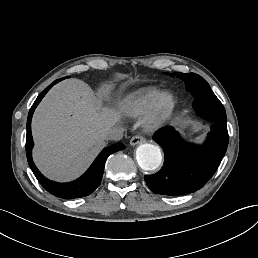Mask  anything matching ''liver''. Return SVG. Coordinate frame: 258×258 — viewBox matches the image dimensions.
<instances>
[{
    "mask_svg": "<svg viewBox=\"0 0 258 258\" xmlns=\"http://www.w3.org/2000/svg\"><path fill=\"white\" fill-rule=\"evenodd\" d=\"M98 108L93 90L79 79L65 80L46 94L32 118L33 160L46 177L77 178L106 146L107 132L123 109Z\"/></svg>",
    "mask_w": 258,
    "mask_h": 258,
    "instance_id": "1",
    "label": "liver"
}]
</instances>
